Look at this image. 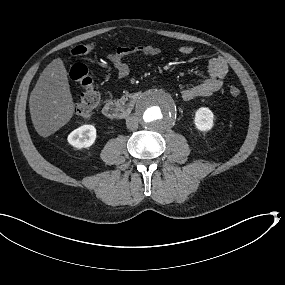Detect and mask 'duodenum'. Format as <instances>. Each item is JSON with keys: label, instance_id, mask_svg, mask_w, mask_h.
I'll return each instance as SVG.
<instances>
[{"label": "duodenum", "instance_id": "duodenum-1", "mask_svg": "<svg viewBox=\"0 0 285 285\" xmlns=\"http://www.w3.org/2000/svg\"><path fill=\"white\" fill-rule=\"evenodd\" d=\"M140 93H130L117 100L108 101L103 107V114L110 119H124L134 109Z\"/></svg>", "mask_w": 285, "mask_h": 285}]
</instances>
